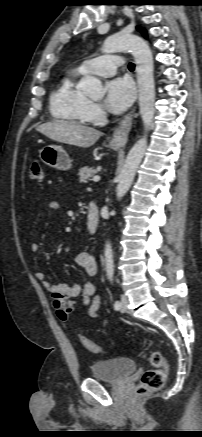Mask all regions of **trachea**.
<instances>
[{
    "instance_id": "trachea-1",
    "label": "trachea",
    "mask_w": 202,
    "mask_h": 437,
    "mask_svg": "<svg viewBox=\"0 0 202 437\" xmlns=\"http://www.w3.org/2000/svg\"><path fill=\"white\" fill-rule=\"evenodd\" d=\"M128 68H129L130 70H133V69L135 68L134 63H129Z\"/></svg>"
}]
</instances>
